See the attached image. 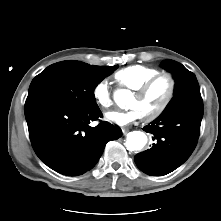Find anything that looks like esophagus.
<instances>
[{"label": "esophagus", "instance_id": "obj_1", "mask_svg": "<svg viewBox=\"0 0 221 221\" xmlns=\"http://www.w3.org/2000/svg\"><path fill=\"white\" fill-rule=\"evenodd\" d=\"M128 131L129 130L127 128H122V132H123L124 135H126L128 133Z\"/></svg>", "mask_w": 221, "mask_h": 221}]
</instances>
